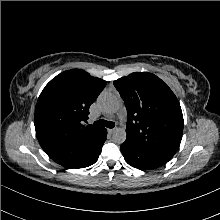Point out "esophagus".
Here are the masks:
<instances>
[{"label": "esophagus", "instance_id": "34e87169", "mask_svg": "<svg viewBox=\"0 0 220 220\" xmlns=\"http://www.w3.org/2000/svg\"><path fill=\"white\" fill-rule=\"evenodd\" d=\"M115 131V128L113 129H108V133L112 134Z\"/></svg>", "mask_w": 220, "mask_h": 220}]
</instances>
